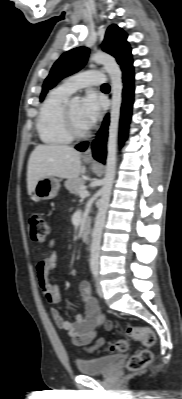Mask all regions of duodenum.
Wrapping results in <instances>:
<instances>
[{"instance_id":"1","label":"duodenum","mask_w":182,"mask_h":399,"mask_svg":"<svg viewBox=\"0 0 182 399\" xmlns=\"http://www.w3.org/2000/svg\"><path fill=\"white\" fill-rule=\"evenodd\" d=\"M89 237H90V224L86 223L81 228V239L83 241H88Z\"/></svg>"}]
</instances>
